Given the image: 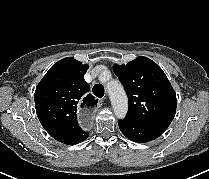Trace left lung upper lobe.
<instances>
[{
    "label": "left lung upper lobe",
    "mask_w": 209,
    "mask_h": 179,
    "mask_svg": "<svg viewBox=\"0 0 209 179\" xmlns=\"http://www.w3.org/2000/svg\"><path fill=\"white\" fill-rule=\"evenodd\" d=\"M114 73L129 101L126 118L164 132L176 113V93L163 70L147 57L126 65L115 64Z\"/></svg>",
    "instance_id": "1"
}]
</instances>
